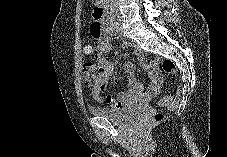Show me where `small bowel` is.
I'll use <instances>...</instances> for the list:
<instances>
[{"label": "small bowel", "mask_w": 227, "mask_h": 157, "mask_svg": "<svg viewBox=\"0 0 227 157\" xmlns=\"http://www.w3.org/2000/svg\"><path fill=\"white\" fill-rule=\"evenodd\" d=\"M98 45L94 48L92 45H86L83 48L85 54H92L95 52L96 65L100 72L92 85L91 93L94 100L100 104H108L112 108H124L139 106L145 102L150 101L160 91L161 78L156 71L155 63L149 64L146 59L140 55L141 65L150 72L151 85L147 92L143 90L142 85L136 80L134 75V68L130 62L123 64L125 72V82L129 87L128 91L119 92L115 97L110 95L105 96L107 82L114 72L115 66L112 62L108 61L106 55L111 52V38L108 33L100 34Z\"/></svg>", "instance_id": "1"}]
</instances>
